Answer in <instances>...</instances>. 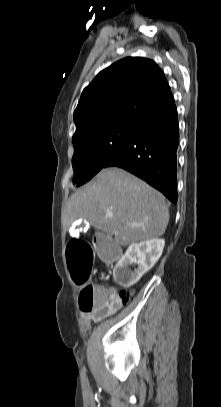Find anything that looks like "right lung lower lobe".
I'll return each instance as SVG.
<instances>
[{
    "label": "right lung lower lobe",
    "instance_id": "obj_1",
    "mask_svg": "<svg viewBox=\"0 0 221 407\" xmlns=\"http://www.w3.org/2000/svg\"><path fill=\"white\" fill-rule=\"evenodd\" d=\"M179 126L174 98L142 119L124 145L105 163L121 167L177 202Z\"/></svg>",
    "mask_w": 221,
    "mask_h": 407
}]
</instances>
